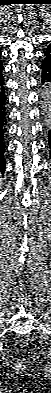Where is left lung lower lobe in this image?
<instances>
[{
	"mask_svg": "<svg viewBox=\"0 0 51 393\" xmlns=\"http://www.w3.org/2000/svg\"><path fill=\"white\" fill-rule=\"evenodd\" d=\"M45 58L42 61V82L47 83V86L51 87V52L44 53ZM49 145L51 149V130L48 134Z\"/></svg>",
	"mask_w": 51,
	"mask_h": 393,
	"instance_id": "0a47b994",
	"label": "left lung lower lobe"
}]
</instances>
